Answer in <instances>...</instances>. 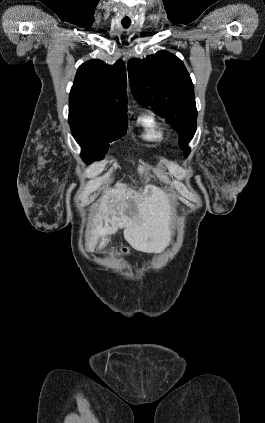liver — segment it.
Returning <instances> with one entry per match:
<instances>
[{"label":"liver","instance_id":"obj_1","mask_svg":"<svg viewBox=\"0 0 265 423\" xmlns=\"http://www.w3.org/2000/svg\"><path fill=\"white\" fill-rule=\"evenodd\" d=\"M145 173L143 166L138 168ZM150 195H137L127 189L125 184L117 183L100 198L99 210L93 220L86 247L93 252L99 239L124 229L125 240L137 251L161 253L171 241L169 222L172 208L161 190L152 187ZM135 203L137 213L131 217L129 207Z\"/></svg>","mask_w":265,"mask_h":423}]
</instances>
